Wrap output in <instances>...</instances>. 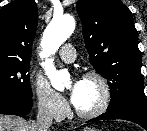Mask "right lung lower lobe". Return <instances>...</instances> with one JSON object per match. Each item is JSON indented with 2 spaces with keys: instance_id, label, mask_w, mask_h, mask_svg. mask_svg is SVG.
<instances>
[{
  "instance_id": "obj_1",
  "label": "right lung lower lobe",
  "mask_w": 147,
  "mask_h": 131,
  "mask_svg": "<svg viewBox=\"0 0 147 131\" xmlns=\"http://www.w3.org/2000/svg\"><path fill=\"white\" fill-rule=\"evenodd\" d=\"M32 108V100H20L9 96H0V114L25 116Z\"/></svg>"
}]
</instances>
